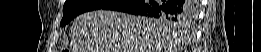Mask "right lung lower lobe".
<instances>
[{
  "mask_svg": "<svg viewBox=\"0 0 261 52\" xmlns=\"http://www.w3.org/2000/svg\"><path fill=\"white\" fill-rule=\"evenodd\" d=\"M102 9L158 18L164 15L179 16L190 7L184 0H119Z\"/></svg>",
  "mask_w": 261,
  "mask_h": 52,
  "instance_id": "obj_1",
  "label": "right lung lower lobe"
}]
</instances>
